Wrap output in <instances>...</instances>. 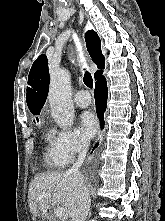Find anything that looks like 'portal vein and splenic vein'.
<instances>
[{
  "label": "portal vein and splenic vein",
  "instance_id": "1",
  "mask_svg": "<svg viewBox=\"0 0 165 221\" xmlns=\"http://www.w3.org/2000/svg\"><path fill=\"white\" fill-rule=\"evenodd\" d=\"M38 200H41L43 198H51V194L47 193V192H43L41 194L38 195ZM54 212L56 214V216L58 217H64L65 216V209L62 206H58L54 209Z\"/></svg>",
  "mask_w": 165,
  "mask_h": 221
}]
</instances>
